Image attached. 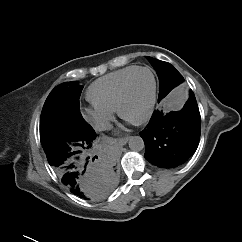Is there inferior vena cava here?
I'll return each mask as SVG.
<instances>
[{
	"label": "inferior vena cava",
	"mask_w": 242,
	"mask_h": 242,
	"mask_svg": "<svg viewBox=\"0 0 242 242\" xmlns=\"http://www.w3.org/2000/svg\"><path fill=\"white\" fill-rule=\"evenodd\" d=\"M95 128L98 131H104V130L111 129L112 125L108 121H100L96 123Z\"/></svg>",
	"instance_id": "1"
}]
</instances>
